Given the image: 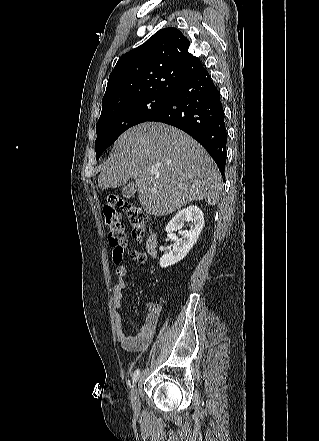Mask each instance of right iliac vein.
<instances>
[{"label": "right iliac vein", "instance_id": "right-iliac-vein-1", "mask_svg": "<svg viewBox=\"0 0 319 441\" xmlns=\"http://www.w3.org/2000/svg\"><path fill=\"white\" fill-rule=\"evenodd\" d=\"M131 404H132V408L135 414H139L140 412V398H139V393H138V389L137 386H135L132 389L131 392Z\"/></svg>", "mask_w": 319, "mask_h": 441}]
</instances>
